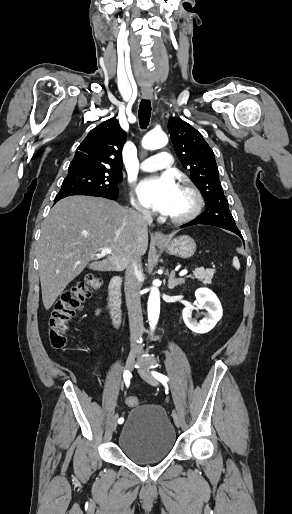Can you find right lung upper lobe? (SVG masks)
<instances>
[{
  "label": "right lung upper lobe",
  "mask_w": 292,
  "mask_h": 514,
  "mask_svg": "<svg viewBox=\"0 0 292 514\" xmlns=\"http://www.w3.org/2000/svg\"><path fill=\"white\" fill-rule=\"evenodd\" d=\"M126 133L115 118L108 119L92 129L77 147L68 173L113 172L122 173V148Z\"/></svg>",
  "instance_id": "cb5924a9"
}]
</instances>
